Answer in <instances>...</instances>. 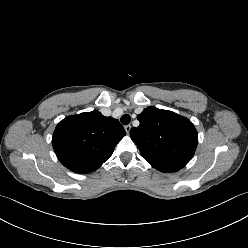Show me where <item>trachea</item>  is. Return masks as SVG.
I'll use <instances>...</instances> for the list:
<instances>
[{"mask_svg":"<svg viewBox=\"0 0 248 248\" xmlns=\"http://www.w3.org/2000/svg\"><path fill=\"white\" fill-rule=\"evenodd\" d=\"M120 121H121V123H122L123 125H127V124L130 123L131 117H130V115H128V114H124V115L121 117Z\"/></svg>","mask_w":248,"mask_h":248,"instance_id":"trachea-1","label":"trachea"}]
</instances>
